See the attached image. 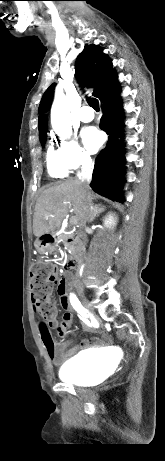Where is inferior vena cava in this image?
I'll return each instance as SVG.
<instances>
[{
    "label": "inferior vena cava",
    "mask_w": 165,
    "mask_h": 461,
    "mask_svg": "<svg viewBox=\"0 0 165 461\" xmlns=\"http://www.w3.org/2000/svg\"><path fill=\"white\" fill-rule=\"evenodd\" d=\"M93 162L89 155H85L82 161V170L78 173L79 181L81 182L84 191L86 192V201L89 206V211L85 217L84 223L91 222L94 213L92 212L91 197L89 194V183L92 178Z\"/></svg>",
    "instance_id": "1"
}]
</instances>
